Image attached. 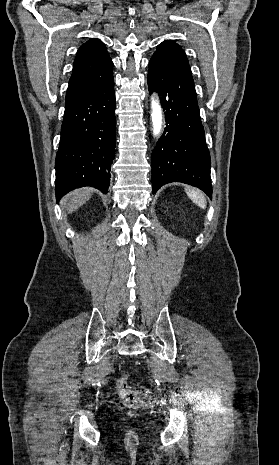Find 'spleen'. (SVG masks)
<instances>
[{
	"label": "spleen",
	"instance_id": "obj_1",
	"mask_svg": "<svg viewBox=\"0 0 279 465\" xmlns=\"http://www.w3.org/2000/svg\"><path fill=\"white\" fill-rule=\"evenodd\" d=\"M188 197L200 208H205L206 207V202L204 199V196L201 192L196 191V190H190V189H185Z\"/></svg>",
	"mask_w": 279,
	"mask_h": 465
}]
</instances>
